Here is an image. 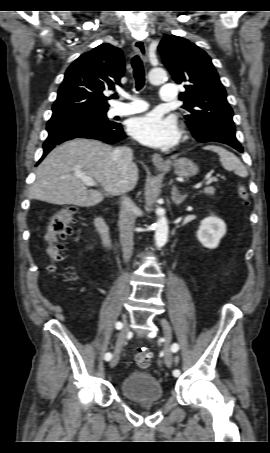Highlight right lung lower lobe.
Masks as SVG:
<instances>
[{
	"mask_svg": "<svg viewBox=\"0 0 270 453\" xmlns=\"http://www.w3.org/2000/svg\"><path fill=\"white\" fill-rule=\"evenodd\" d=\"M47 131L49 134L43 144L44 153L40 161L55 145L74 138H91L105 143H114L126 137L118 123L99 124L78 118L50 119L47 123Z\"/></svg>",
	"mask_w": 270,
	"mask_h": 453,
	"instance_id": "right-lung-lower-lobe-1",
	"label": "right lung lower lobe"
}]
</instances>
